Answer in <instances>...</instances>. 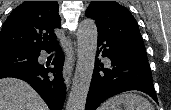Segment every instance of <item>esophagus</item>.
<instances>
[{
  "label": "esophagus",
  "instance_id": "esophagus-1",
  "mask_svg": "<svg viewBox=\"0 0 171 110\" xmlns=\"http://www.w3.org/2000/svg\"><path fill=\"white\" fill-rule=\"evenodd\" d=\"M74 61H75L74 49L72 47L71 40H68V56L65 60V63L63 66V72H62L63 78L65 80V84L67 87H69L71 83Z\"/></svg>",
  "mask_w": 171,
  "mask_h": 110
}]
</instances>
